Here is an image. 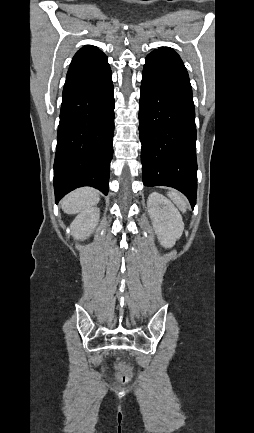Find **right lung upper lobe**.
Instances as JSON below:
<instances>
[{
    "mask_svg": "<svg viewBox=\"0 0 254 433\" xmlns=\"http://www.w3.org/2000/svg\"><path fill=\"white\" fill-rule=\"evenodd\" d=\"M105 58V54L97 47L86 45L74 55L69 69L94 64Z\"/></svg>",
    "mask_w": 254,
    "mask_h": 433,
    "instance_id": "obj_1",
    "label": "right lung upper lobe"
}]
</instances>
